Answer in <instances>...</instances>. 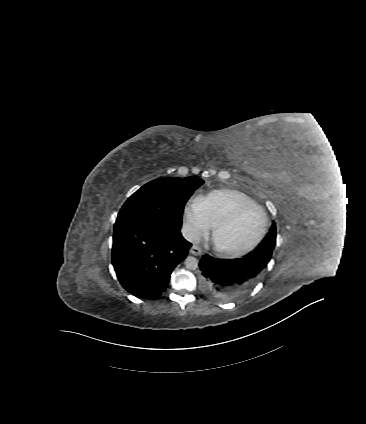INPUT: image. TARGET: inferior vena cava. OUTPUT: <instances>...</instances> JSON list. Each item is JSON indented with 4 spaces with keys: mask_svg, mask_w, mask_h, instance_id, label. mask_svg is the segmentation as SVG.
Returning <instances> with one entry per match:
<instances>
[{
    "mask_svg": "<svg viewBox=\"0 0 366 424\" xmlns=\"http://www.w3.org/2000/svg\"><path fill=\"white\" fill-rule=\"evenodd\" d=\"M181 232H182L183 237L187 241H189L191 243H195V244L200 242V238H201L200 234H199L198 230L196 228H194L193 226H191L189 224L184 225Z\"/></svg>",
    "mask_w": 366,
    "mask_h": 424,
    "instance_id": "obj_1",
    "label": "inferior vena cava"
}]
</instances>
